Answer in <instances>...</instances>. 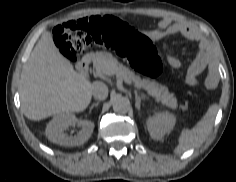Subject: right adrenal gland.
<instances>
[{
  "label": "right adrenal gland",
  "instance_id": "right-adrenal-gland-1",
  "mask_svg": "<svg viewBox=\"0 0 236 182\" xmlns=\"http://www.w3.org/2000/svg\"><path fill=\"white\" fill-rule=\"evenodd\" d=\"M99 105V101H97L96 103H93L90 107V110L89 112H91V110L94 108V107H97Z\"/></svg>",
  "mask_w": 236,
  "mask_h": 182
}]
</instances>
